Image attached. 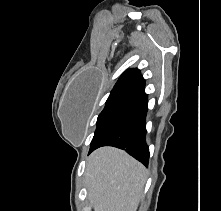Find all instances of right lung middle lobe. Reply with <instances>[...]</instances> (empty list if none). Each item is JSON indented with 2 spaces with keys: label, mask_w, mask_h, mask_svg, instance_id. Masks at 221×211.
<instances>
[{
  "label": "right lung middle lobe",
  "mask_w": 221,
  "mask_h": 211,
  "mask_svg": "<svg viewBox=\"0 0 221 211\" xmlns=\"http://www.w3.org/2000/svg\"><path fill=\"white\" fill-rule=\"evenodd\" d=\"M136 91L124 90L111 92L103 111L97 119V128L92 142L112 123L127 103L137 94Z\"/></svg>",
  "instance_id": "right-lung-middle-lobe-1"
}]
</instances>
